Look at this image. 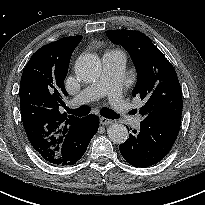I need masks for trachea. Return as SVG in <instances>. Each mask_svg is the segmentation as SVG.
Segmentation results:
<instances>
[{
    "instance_id": "trachea-1",
    "label": "trachea",
    "mask_w": 205,
    "mask_h": 205,
    "mask_svg": "<svg viewBox=\"0 0 205 205\" xmlns=\"http://www.w3.org/2000/svg\"><path fill=\"white\" fill-rule=\"evenodd\" d=\"M90 107L89 106H81L77 109H69L68 107H66V111L68 112V114H73L76 116H85L87 114H89L90 112ZM131 114H133V112H130ZM100 114L105 117V118H109V119H117L119 118V115L114 112L113 110H110L108 108H103L100 110Z\"/></svg>"
}]
</instances>
